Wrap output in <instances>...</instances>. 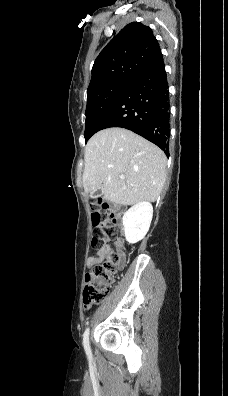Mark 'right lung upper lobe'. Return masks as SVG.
<instances>
[{
	"label": "right lung upper lobe",
	"mask_w": 228,
	"mask_h": 396,
	"mask_svg": "<svg viewBox=\"0 0 228 396\" xmlns=\"http://www.w3.org/2000/svg\"><path fill=\"white\" fill-rule=\"evenodd\" d=\"M160 53L151 28L139 22L126 25L96 58L87 91L112 82L131 83Z\"/></svg>",
	"instance_id": "cb5924a9"
}]
</instances>
